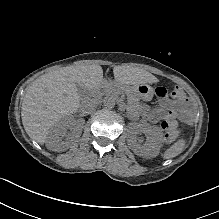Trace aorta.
Masks as SVG:
<instances>
[{
	"instance_id": "1",
	"label": "aorta",
	"mask_w": 219,
	"mask_h": 219,
	"mask_svg": "<svg viewBox=\"0 0 219 219\" xmlns=\"http://www.w3.org/2000/svg\"><path fill=\"white\" fill-rule=\"evenodd\" d=\"M116 105V98L115 97H109L104 99V106L105 108L111 110Z\"/></svg>"
}]
</instances>
